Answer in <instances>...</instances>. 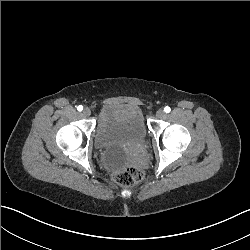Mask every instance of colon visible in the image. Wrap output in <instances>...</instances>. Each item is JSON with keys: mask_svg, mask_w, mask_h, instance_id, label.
Here are the masks:
<instances>
[{"mask_svg": "<svg viewBox=\"0 0 250 250\" xmlns=\"http://www.w3.org/2000/svg\"><path fill=\"white\" fill-rule=\"evenodd\" d=\"M111 179L121 188H131L133 185H142L146 181V172L139 166H115L111 170Z\"/></svg>", "mask_w": 250, "mask_h": 250, "instance_id": "obj_1", "label": "colon"}]
</instances>
